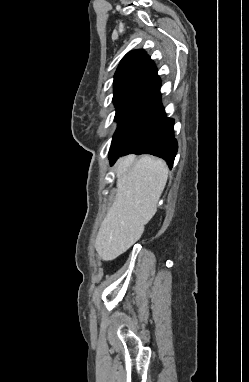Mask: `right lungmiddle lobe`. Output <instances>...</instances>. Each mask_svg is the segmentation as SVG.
<instances>
[{
	"instance_id": "dd1d6c3e",
	"label": "right lung middle lobe",
	"mask_w": 249,
	"mask_h": 382,
	"mask_svg": "<svg viewBox=\"0 0 249 382\" xmlns=\"http://www.w3.org/2000/svg\"><path fill=\"white\" fill-rule=\"evenodd\" d=\"M115 121L118 127L113 136V141L123 135L133 124H135L152 106L150 103L127 102L115 105Z\"/></svg>"
}]
</instances>
